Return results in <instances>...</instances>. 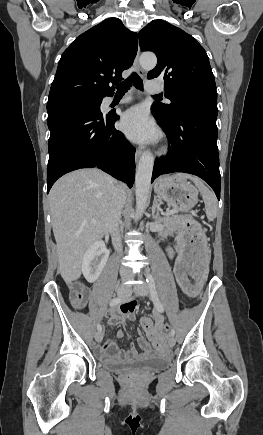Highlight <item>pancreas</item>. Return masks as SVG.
I'll list each match as a JSON object with an SVG mask.
<instances>
[{"label": "pancreas", "mask_w": 263, "mask_h": 435, "mask_svg": "<svg viewBox=\"0 0 263 435\" xmlns=\"http://www.w3.org/2000/svg\"><path fill=\"white\" fill-rule=\"evenodd\" d=\"M175 212L172 214H167V217H164L163 219H161V221L165 224L166 226V231L160 233V236L165 237L167 236L170 231L173 230V224L174 223H182L188 220L189 215H182V214H178L179 212L184 211V209H174Z\"/></svg>", "instance_id": "1"}]
</instances>
